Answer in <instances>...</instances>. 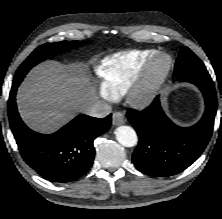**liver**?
<instances>
[{
    "label": "liver",
    "instance_id": "1",
    "mask_svg": "<svg viewBox=\"0 0 222 219\" xmlns=\"http://www.w3.org/2000/svg\"><path fill=\"white\" fill-rule=\"evenodd\" d=\"M94 103L97 97L81 64L42 63L30 71L17 92L22 119L41 133L56 131Z\"/></svg>",
    "mask_w": 222,
    "mask_h": 219
}]
</instances>
